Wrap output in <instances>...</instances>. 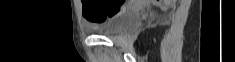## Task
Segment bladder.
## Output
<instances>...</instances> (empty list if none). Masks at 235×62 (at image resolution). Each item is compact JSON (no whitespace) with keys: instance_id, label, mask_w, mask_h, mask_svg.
Listing matches in <instances>:
<instances>
[{"instance_id":"31cf9c89","label":"bladder","mask_w":235,"mask_h":62,"mask_svg":"<svg viewBox=\"0 0 235 62\" xmlns=\"http://www.w3.org/2000/svg\"><path fill=\"white\" fill-rule=\"evenodd\" d=\"M140 20L139 9L128 7L102 24L97 29V33L106 37L117 36L135 28L140 23Z\"/></svg>"}]
</instances>
